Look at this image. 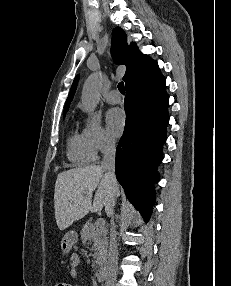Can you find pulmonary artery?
Wrapping results in <instances>:
<instances>
[{
  "instance_id": "1",
  "label": "pulmonary artery",
  "mask_w": 231,
  "mask_h": 286,
  "mask_svg": "<svg viewBox=\"0 0 231 286\" xmlns=\"http://www.w3.org/2000/svg\"><path fill=\"white\" fill-rule=\"evenodd\" d=\"M106 100L110 104H117L121 101V95L118 90L113 89L106 95Z\"/></svg>"
}]
</instances>
